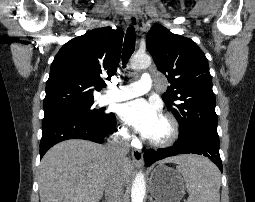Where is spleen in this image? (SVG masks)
I'll use <instances>...</instances> for the list:
<instances>
[{
  "instance_id": "spleen-1",
  "label": "spleen",
  "mask_w": 255,
  "mask_h": 202,
  "mask_svg": "<svg viewBox=\"0 0 255 202\" xmlns=\"http://www.w3.org/2000/svg\"><path fill=\"white\" fill-rule=\"evenodd\" d=\"M177 170L189 193L187 202H220V172L208 159L191 155Z\"/></svg>"
}]
</instances>
